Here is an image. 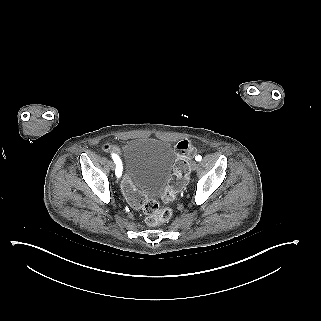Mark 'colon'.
Here are the masks:
<instances>
[{"label": "colon", "instance_id": "5ec220e1", "mask_svg": "<svg viewBox=\"0 0 321 321\" xmlns=\"http://www.w3.org/2000/svg\"><path fill=\"white\" fill-rule=\"evenodd\" d=\"M105 149L110 151L116 150L111 144L105 145ZM175 151L177 158L174 164L173 176L171 177L168 189L164 194V199L166 201L174 199L178 191L185 185L189 175L190 160L195 154L196 148L191 142L183 140L176 145ZM122 189L128 202L134 208L142 210L147 225L156 226L167 222L171 218L172 212L169 208L161 207L155 200L143 198L136 193L128 183L123 182Z\"/></svg>", "mask_w": 321, "mask_h": 321}]
</instances>
